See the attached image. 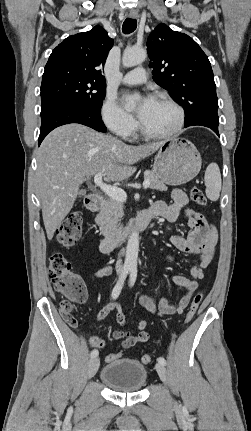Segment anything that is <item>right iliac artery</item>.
Returning a JSON list of instances; mask_svg holds the SVG:
<instances>
[{
	"mask_svg": "<svg viewBox=\"0 0 251 431\" xmlns=\"http://www.w3.org/2000/svg\"><path fill=\"white\" fill-rule=\"evenodd\" d=\"M129 271H130V268H128V267L123 268L121 276L119 278V281L117 282V284L115 285V287L112 290V294H111L112 299L118 298V296L121 292L122 286L124 284V281H125L128 273H129ZM90 356L92 358L97 357L98 356V350H96V349L92 350Z\"/></svg>",
	"mask_w": 251,
	"mask_h": 431,
	"instance_id": "right-iliac-artery-1",
	"label": "right iliac artery"
}]
</instances>
